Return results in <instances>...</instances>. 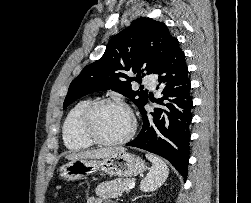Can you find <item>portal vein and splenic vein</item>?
Returning a JSON list of instances; mask_svg holds the SVG:
<instances>
[{
    "instance_id": "1",
    "label": "portal vein and splenic vein",
    "mask_w": 251,
    "mask_h": 203,
    "mask_svg": "<svg viewBox=\"0 0 251 203\" xmlns=\"http://www.w3.org/2000/svg\"><path fill=\"white\" fill-rule=\"evenodd\" d=\"M135 187V182H131L129 185H128V189H133Z\"/></svg>"
}]
</instances>
